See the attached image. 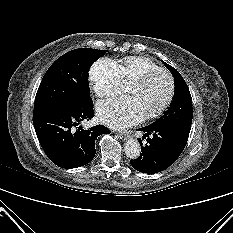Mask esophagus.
Here are the masks:
<instances>
[{
    "label": "esophagus",
    "instance_id": "1",
    "mask_svg": "<svg viewBox=\"0 0 233 233\" xmlns=\"http://www.w3.org/2000/svg\"><path fill=\"white\" fill-rule=\"evenodd\" d=\"M118 135L120 136L122 140H125L129 137L128 133H125V132H119Z\"/></svg>",
    "mask_w": 233,
    "mask_h": 233
}]
</instances>
